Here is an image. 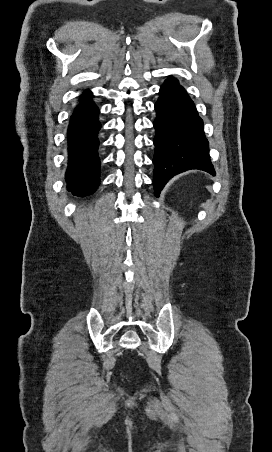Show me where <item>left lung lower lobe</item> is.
I'll list each match as a JSON object with an SVG mask.
<instances>
[{
    "label": "left lung lower lobe",
    "mask_w": 272,
    "mask_h": 452,
    "mask_svg": "<svg viewBox=\"0 0 272 452\" xmlns=\"http://www.w3.org/2000/svg\"><path fill=\"white\" fill-rule=\"evenodd\" d=\"M155 110V196L170 178L186 170L200 169L214 175L202 119L177 79L170 77L161 86Z\"/></svg>",
    "instance_id": "left-lung-lower-lobe-1"
}]
</instances>
